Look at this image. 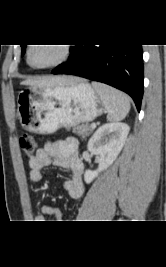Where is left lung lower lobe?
<instances>
[{
	"instance_id": "left-lung-lower-lobe-1",
	"label": "left lung lower lobe",
	"mask_w": 166,
	"mask_h": 267,
	"mask_svg": "<svg viewBox=\"0 0 166 267\" xmlns=\"http://www.w3.org/2000/svg\"><path fill=\"white\" fill-rule=\"evenodd\" d=\"M68 62L53 74H72L111 85L129 94L140 111L143 96L141 45H76Z\"/></svg>"
}]
</instances>
